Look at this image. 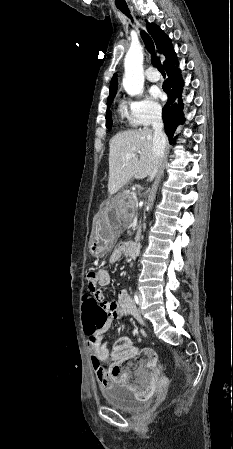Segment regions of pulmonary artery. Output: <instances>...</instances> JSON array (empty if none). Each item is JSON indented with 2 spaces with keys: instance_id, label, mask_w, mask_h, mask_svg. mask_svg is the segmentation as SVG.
Segmentation results:
<instances>
[{
  "instance_id": "e3ab8cb5",
  "label": "pulmonary artery",
  "mask_w": 233,
  "mask_h": 449,
  "mask_svg": "<svg viewBox=\"0 0 233 449\" xmlns=\"http://www.w3.org/2000/svg\"><path fill=\"white\" fill-rule=\"evenodd\" d=\"M145 76H146L147 80H149L150 82H157L160 80L159 73L152 67L148 68L145 71Z\"/></svg>"
}]
</instances>
